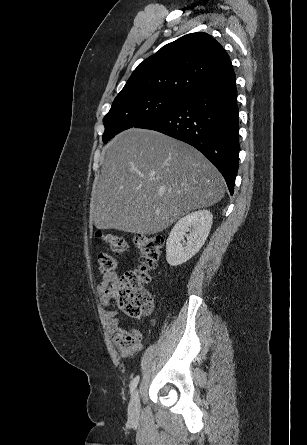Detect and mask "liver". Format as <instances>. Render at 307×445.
<instances>
[{
    "label": "liver",
    "mask_w": 307,
    "mask_h": 445,
    "mask_svg": "<svg viewBox=\"0 0 307 445\" xmlns=\"http://www.w3.org/2000/svg\"><path fill=\"white\" fill-rule=\"evenodd\" d=\"M103 154L90 200V216L101 231L155 235L224 196L222 174L202 152L157 130H123Z\"/></svg>",
    "instance_id": "1"
}]
</instances>
